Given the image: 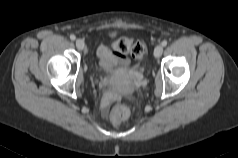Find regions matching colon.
Here are the masks:
<instances>
[{"mask_svg": "<svg viewBox=\"0 0 238 158\" xmlns=\"http://www.w3.org/2000/svg\"><path fill=\"white\" fill-rule=\"evenodd\" d=\"M114 49L119 55H131L135 59H140L145 53V46L142 42L126 37L119 38L114 43ZM130 115V109L124 104L115 106L110 114V120L114 124H119Z\"/></svg>", "mask_w": 238, "mask_h": 158, "instance_id": "colon-1", "label": "colon"}]
</instances>
